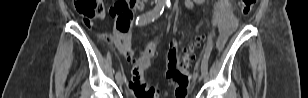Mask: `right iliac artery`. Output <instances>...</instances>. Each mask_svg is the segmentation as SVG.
I'll return each mask as SVG.
<instances>
[{
	"label": "right iliac artery",
	"instance_id": "right-iliac-artery-1",
	"mask_svg": "<svg viewBox=\"0 0 308 98\" xmlns=\"http://www.w3.org/2000/svg\"><path fill=\"white\" fill-rule=\"evenodd\" d=\"M164 3H158L151 11H148L136 19V25L142 26L147 23L153 22L157 19L164 10ZM120 72L116 73V78L120 75Z\"/></svg>",
	"mask_w": 308,
	"mask_h": 98
}]
</instances>
